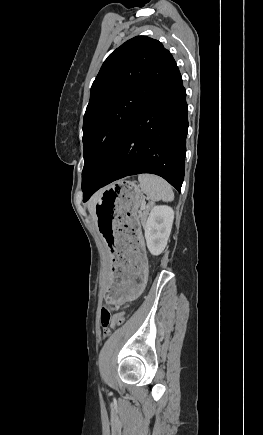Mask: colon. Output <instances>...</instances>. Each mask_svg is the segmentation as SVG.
<instances>
[{"instance_id":"5ec220e1","label":"colon","mask_w":263,"mask_h":435,"mask_svg":"<svg viewBox=\"0 0 263 435\" xmlns=\"http://www.w3.org/2000/svg\"><path fill=\"white\" fill-rule=\"evenodd\" d=\"M100 321L102 327L106 330L107 323H115L120 325L123 321L122 317L113 313L110 307H103L100 314Z\"/></svg>"}]
</instances>
